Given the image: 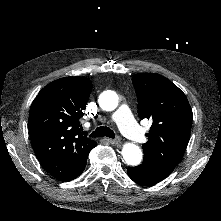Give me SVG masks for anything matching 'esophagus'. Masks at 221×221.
Instances as JSON below:
<instances>
[{"instance_id": "esophagus-1", "label": "esophagus", "mask_w": 221, "mask_h": 221, "mask_svg": "<svg viewBox=\"0 0 221 221\" xmlns=\"http://www.w3.org/2000/svg\"><path fill=\"white\" fill-rule=\"evenodd\" d=\"M105 140L110 143V144H118L119 143V138H115V139H110V138H105Z\"/></svg>"}]
</instances>
